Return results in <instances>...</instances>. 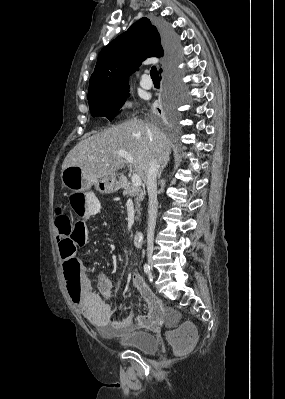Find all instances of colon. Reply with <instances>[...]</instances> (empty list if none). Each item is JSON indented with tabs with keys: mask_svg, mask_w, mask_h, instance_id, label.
Instances as JSON below:
<instances>
[{
	"mask_svg": "<svg viewBox=\"0 0 285 399\" xmlns=\"http://www.w3.org/2000/svg\"><path fill=\"white\" fill-rule=\"evenodd\" d=\"M87 193L75 194L70 197V204L76 213L82 212L87 201ZM55 224L62 231L63 237L59 242L60 256L63 260L64 276L68 279V292L73 297L79 293L78 280L76 274L71 271V264L75 260L78 247L82 246L88 239L89 233L82 222L75 221L74 218L59 211L55 218ZM169 341L176 354L189 352L197 340L195 328L190 324H185L176 330L168 333Z\"/></svg>",
	"mask_w": 285,
	"mask_h": 399,
	"instance_id": "colon-1",
	"label": "colon"
}]
</instances>
